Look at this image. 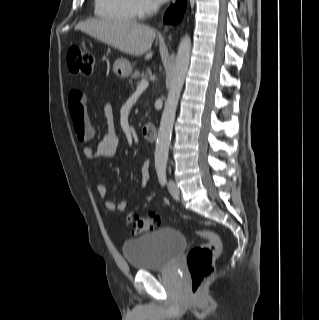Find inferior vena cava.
<instances>
[{
    "label": "inferior vena cava",
    "mask_w": 319,
    "mask_h": 320,
    "mask_svg": "<svg viewBox=\"0 0 319 320\" xmlns=\"http://www.w3.org/2000/svg\"><path fill=\"white\" fill-rule=\"evenodd\" d=\"M153 7H154V9H156V8H157V5H156V4H154V6H153Z\"/></svg>",
    "instance_id": "1"
}]
</instances>
